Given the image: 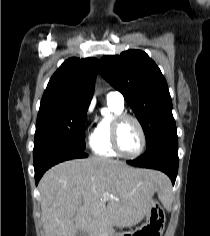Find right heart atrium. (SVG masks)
Masks as SVG:
<instances>
[{
    "mask_svg": "<svg viewBox=\"0 0 210 236\" xmlns=\"http://www.w3.org/2000/svg\"><path fill=\"white\" fill-rule=\"evenodd\" d=\"M92 111H93V106L90 105V106L88 107V109H87V111H86V115H85V120H86V122L89 121Z\"/></svg>",
    "mask_w": 210,
    "mask_h": 236,
    "instance_id": "right-heart-atrium-1",
    "label": "right heart atrium"
}]
</instances>
